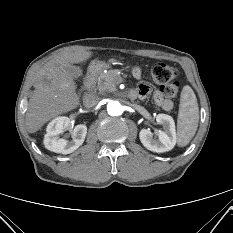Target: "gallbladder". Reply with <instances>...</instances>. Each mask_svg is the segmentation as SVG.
Returning a JSON list of instances; mask_svg holds the SVG:
<instances>
[{"label": "gallbladder", "instance_id": "gallbladder-1", "mask_svg": "<svg viewBox=\"0 0 233 233\" xmlns=\"http://www.w3.org/2000/svg\"><path fill=\"white\" fill-rule=\"evenodd\" d=\"M66 71L73 77L78 78L82 75V70L80 67L71 65L69 67H66Z\"/></svg>", "mask_w": 233, "mask_h": 233}]
</instances>
